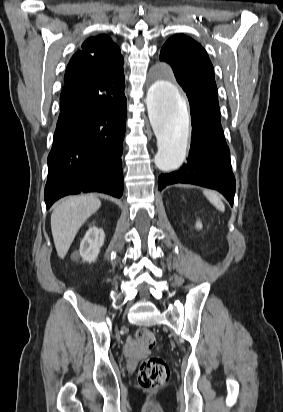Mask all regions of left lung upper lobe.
I'll return each mask as SVG.
<instances>
[{
    "instance_id": "1",
    "label": "left lung upper lobe",
    "mask_w": 283,
    "mask_h": 412,
    "mask_svg": "<svg viewBox=\"0 0 283 412\" xmlns=\"http://www.w3.org/2000/svg\"><path fill=\"white\" fill-rule=\"evenodd\" d=\"M160 60L169 63L184 91L219 106L214 70L204 48L193 39L176 34L160 52Z\"/></svg>"
}]
</instances>
